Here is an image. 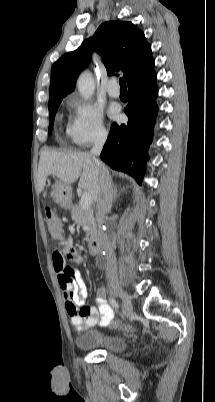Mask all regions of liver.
Segmentation results:
<instances>
[{"mask_svg": "<svg viewBox=\"0 0 215 402\" xmlns=\"http://www.w3.org/2000/svg\"><path fill=\"white\" fill-rule=\"evenodd\" d=\"M108 171V167L102 164ZM49 175L56 176L65 184H72L79 177V188L87 190L94 200L98 196L99 173L94 158L83 152L44 151L41 153L37 186L41 193Z\"/></svg>", "mask_w": 215, "mask_h": 402, "instance_id": "obj_1", "label": "liver"}]
</instances>
